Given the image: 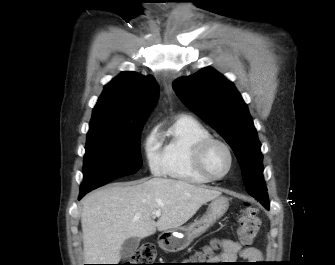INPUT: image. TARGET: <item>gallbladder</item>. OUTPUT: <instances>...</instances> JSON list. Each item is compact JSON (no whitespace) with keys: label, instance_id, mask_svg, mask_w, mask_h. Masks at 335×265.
<instances>
[{"label":"gallbladder","instance_id":"obj_1","mask_svg":"<svg viewBox=\"0 0 335 265\" xmlns=\"http://www.w3.org/2000/svg\"><path fill=\"white\" fill-rule=\"evenodd\" d=\"M139 243L140 240L137 237H131L125 240L120 250V257L124 260L132 257L137 251Z\"/></svg>","mask_w":335,"mask_h":265}]
</instances>
